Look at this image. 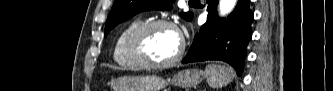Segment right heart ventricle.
<instances>
[{
    "label": "right heart ventricle",
    "instance_id": "right-heart-ventricle-1",
    "mask_svg": "<svg viewBox=\"0 0 333 91\" xmlns=\"http://www.w3.org/2000/svg\"><path fill=\"white\" fill-rule=\"evenodd\" d=\"M142 23L140 19L134 20L126 25L117 35L113 46V60L123 69L140 70L142 67L135 63L127 52V39L129 34Z\"/></svg>",
    "mask_w": 333,
    "mask_h": 91
}]
</instances>
